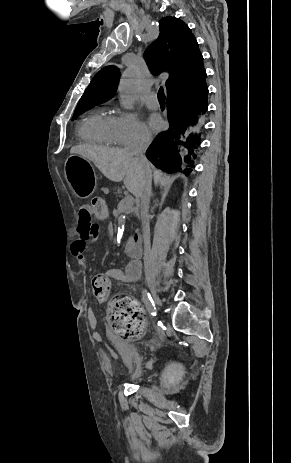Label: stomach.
<instances>
[{
    "instance_id": "1",
    "label": "stomach",
    "mask_w": 291,
    "mask_h": 463,
    "mask_svg": "<svg viewBox=\"0 0 291 463\" xmlns=\"http://www.w3.org/2000/svg\"><path fill=\"white\" fill-rule=\"evenodd\" d=\"M66 180L79 198L89 197L95 189V177L90 161L80 155L71 154L64 167Z\"/></svg>"
}]
</instances>
